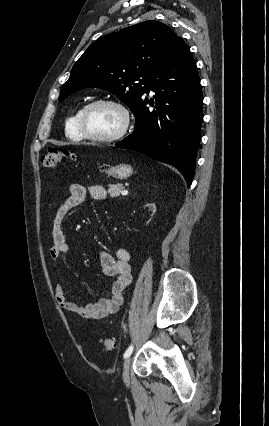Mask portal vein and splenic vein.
Segmentation results:
<instances>
[{"label":"portal vein and splenic vein","instance_id":"18ae733b","mask_svg":"<svg viewBox=\"0 0 269 426\" xmlns=\"http://www.w3.org/2000/svg\"><path fill=\"white\" fill-rule=\"evenodd\" d=\"M121 194H122L123 196H125V195H127V194H128V191L124 190V191H122V192H121Z\"/></svg>","mask_w":269,"mask_h":426}]
</instances>
